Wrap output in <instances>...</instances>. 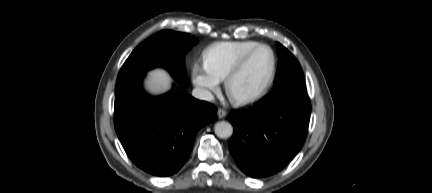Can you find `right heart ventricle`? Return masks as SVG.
<instances>
[{"label": "right heart ventricle", "mask_w": 432, "mask_h": 193, "mask_svg": "<svg viewBox=\"0 0 432 193\" xmlns=\"http://www.w3.org/2000/svg\"><path fill=\"white\" fill-rule=\"evenodd\" d=\"M258 44L254 40L215 43L205 50L204 65L219 82L223 81L234 64Z\"/></svg>", "instance_id": "e07e8e85"}]
</instances>
